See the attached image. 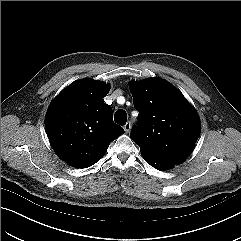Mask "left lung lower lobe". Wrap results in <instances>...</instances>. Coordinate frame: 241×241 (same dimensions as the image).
I'll return each instance as SVG.
<instances>
[{"mask_svg":"<svg viewBox=\"0 0 241 241\" xmlns=\"http://www.w3.org/2000/svg\"><path fill=\"white\" fill-rule=\"evenodd\" d=\"M143 156V155H142ZM143 158L153 167L160 169V170H167L173 167V165L168 164V163H164V162H160L156 159H152L146 156H143Z\"/></svg>","mask_w":241,"mask_h":241,"instance_id":"obj_1","label":"left lung lower lobe"}]
</instances>
